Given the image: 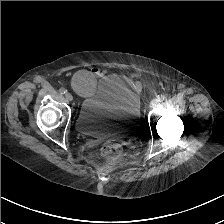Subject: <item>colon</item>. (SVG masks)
I'll use <instances>...</instances> for the list:
<instances>
[{
	"instance_id": "5ec220e1",
	"label": "colon",
	"mask_w": 224,
	"mask_h": 224,
	"mask_svg": "<svg viewBox=\"0 0 224 224\" xmlns=\"http://www.w3.org/2000/svg\"><path fill=\"white\" fill-rule=\"evenodd\" d=\"M96 78L92 71L82 70L74 76L72 87L80 95H89L96 88ZM121 152L122 148L117 143H105L102 147V153L108 158H117Z\"/></svg>"
}]
</instances>
